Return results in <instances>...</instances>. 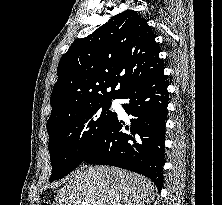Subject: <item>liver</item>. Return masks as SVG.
I'll return each mask as SVG.
<instances>
[{
  "instance_id": "1",
  "label": "liver",
  "mask_w": 222,
  "mask_h": 205,
  "mask_svg": "<svg viewBox=\"0 0 222 205\" xmlns=\"http://www.w3.org/2000/svg\"><path fill=\"white\" fill-rule=\"evenodd\" d=\"M156 190L140 174L93 166L71 175L58 191L56 205H145L154 200Z\"/></svg>"
}]
</instances>
